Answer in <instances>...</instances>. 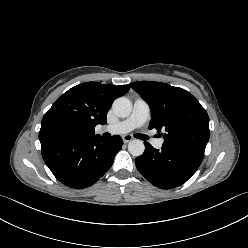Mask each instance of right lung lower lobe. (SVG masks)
<instances>
[{
    "label": "right lung lower lobe",
    "instance_id": "1",
    "mask_svg": "<svg viewBox=\"0 0 248 248\" xmlns=\"http://www.w3.org/2000/svg\"><path fill=\"white\" fill-rule=\"evenodd\" d=\"M40 142L42 157L53 175L75 189L89 187L101 178L123 145L118 135L110 139L97 135Z\"/></svg>",
    "mask_w": 248,
    "mask_h": 248
}]
</instances>
